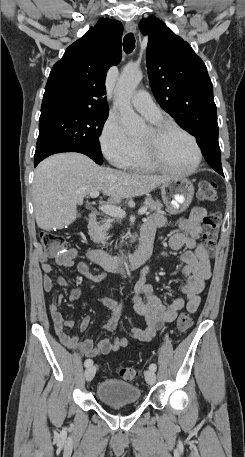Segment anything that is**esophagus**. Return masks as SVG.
Returning a JSON list of instances; mask_svg holds the SVG:
<instances>
[{
	"instance_id": "obj_1",
	"label": "esophagus",
	"mask_w": 245,
	"mask_h": 457,
	"mask_svg": "<svg viewBox=\"0 0 245 457\" xmlns=\"http://www.w3.org/2000/svg\"><path fill=\"white\" fill-rule=\"evenodd\" d=\"M127 32L134 33L136 31V25L134 22H128L125 25Z\"/></svg>"
}]
</instances>
